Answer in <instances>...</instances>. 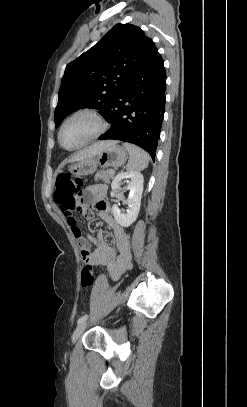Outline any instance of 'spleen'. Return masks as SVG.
<instances>
[{"instance_id":"obj_1","label":"spleen","mask_w":247,"mask_h":407,"mask_svg":"<svg viewBox=\"0 0 247 407\" xmlns=\"http://www.w3.org/2000/svg\"><path fill=\"white\" fill-rule=\"evenodd\" d=\"M123 146L129 153V162L127 164V170L140 171L145 169L150 161V157L146 151L130 143H123Z\"/></svg>"}]
</instances>
